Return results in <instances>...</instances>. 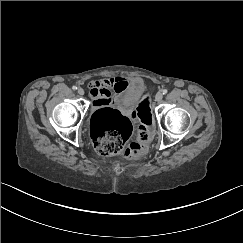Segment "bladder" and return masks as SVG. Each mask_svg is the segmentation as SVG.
<instances>
[{"label":"bladder","mask_w":243,"mask_h":243,"mask_svg":"<svg viewBox=\"0 0 243 243\" xmlns=\"http://www.w3.org/2000/svg\"><path fill=\"white\" fill-rule=\"evenodd\" d=\"M146 89L145 82L140 77H132L128 80L126 89L124 90L120 103L124 106H130L139 101Z\"/></svg>","instance_id":"bladder-1"}]
</instances>
